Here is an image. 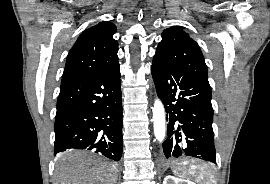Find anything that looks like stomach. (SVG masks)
I'll return each instance as SVG.
<instances>
[{"mask_svg": "<svg viewBox=\"0 0 270 184\" xmlns=\"http://www.w3.org/2000/svg\"><path fill=\"white\" fill-rule=\"evenodd\" d=\"M188 166L189 164L186 161H174L171 168L175 174L181 175Z\"/></svg>", "mask_w": 270, "mask_h": 184, "instance_id": "0dacf381", "label": "stomach"}]
</instances>
